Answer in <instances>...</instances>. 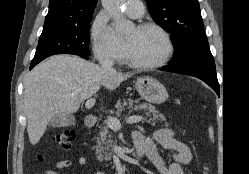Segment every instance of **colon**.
<instances>
[{
  "label": "colon",
  "instance_id": "colon-1",
  "mask_svg": "<svg viewBox=\"0 0 249 174\" xmlns=\"http://www.w3.org/2000/svg\"><path fill=\"white\" fill-rule=\"evenodd\" d=\"M75 138V133L71 129H64L54 136V142L62 149H68ZM43 156L39 155L38 160H42ZM207 174V169H205Z\"/></svg>",
  "mask_w": 249,
  "mask_h": 174
}]
</instances>
